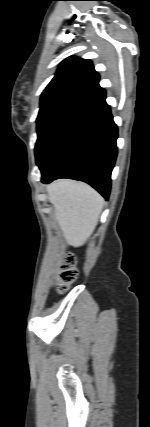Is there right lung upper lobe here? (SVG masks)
<instances>
[{"mask_svg": "<svg viewBox=\"0 0 150 427\" xmlns=\"http://www.w3.org/2000/svg\"><path fill=\"white\" fill-rule=\"evenodd\" d=\"M99 75L87 59H65L41 95L40 110L69 107L82 110L105 95Z\"/></svg>", "mask_w": 150, "mask_h": 427, "instance_id": "cb5924a9", "label": "right lung upper lobe"}]
</instances>
